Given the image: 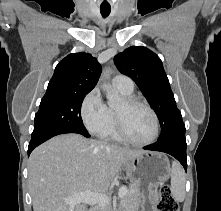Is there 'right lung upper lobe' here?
<instances>
[{
  "label": "right lung upper lobe",
  "instance_id": "cb5924a9",
  "mask_svg": "<svg viewBox=\"0 0 221 211\" xmlns=\"http://www.w3.org/2000/svg\"><path fill=\"white\" fill-rule=\"evenodd\" d=\"M101 66L91 54H70L55 68L46 94H84L97 84Z\"/></svg>",
  "mask_w": 221,
  "mask_h": 211
}]
</instances>
